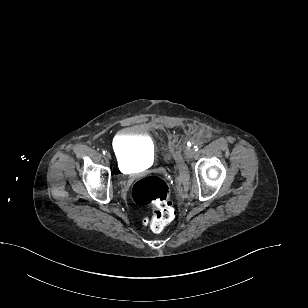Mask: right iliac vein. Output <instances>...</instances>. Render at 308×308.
Returning <instances> with one entry per match:
<instances>
[{"label":"right iliac vein","instance_id":"63e3f726","mask_svg":"<svg viewBox=\"0 0 308 308\" xmlns=\"http://www.w3.org/2000/svg\"><path fill=\"white\" fill-rule=\"evenodd\" d=\"M106 157H107L108 159H111V154H110L109 152H107V153H106Z\"/></svg>","mask_w":308,"mask_h":308}]
</instances>
